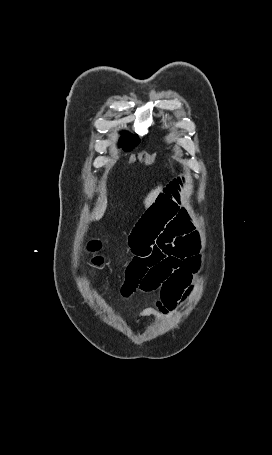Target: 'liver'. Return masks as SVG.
<instances>
[{"label": "liver", "mask_w": 272, "mask_h": 455, "mask_svg": "<svg viewBox=\"0 0 272 455\" xmlns=\"http://www.w3.org/2000/svg\"><path fill=\"white\" fill-rule=\"evenodd\" d=\"M161 190H162V187L158 186L157 188H155L154 190H152L148 194V196L146 197V199L144 201V204H145L146 208H148L149 206H151L155 202V200L158 197V195L161 192ZM106 206H107V199L104 196V194H101V197L98 199L97 206H96V208L94 210L93 218L96 219V220L101 219L102 216L104 215L105 210H106Z\"/></svg>", "instance_id": "6515ba94"}]
</instances>
